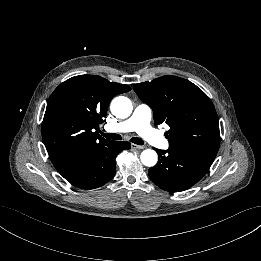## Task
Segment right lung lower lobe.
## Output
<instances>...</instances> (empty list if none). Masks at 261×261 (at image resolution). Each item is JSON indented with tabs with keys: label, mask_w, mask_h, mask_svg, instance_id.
Instances as JSON below:
<instances>
[{
	"label": "right lung lower lobe",
	"mask_w": 261,
	"mask_h": 261,
	"mask_svg": "<svg viewBox=\"0 0 261 261\" xmlns=\"http://www.w3.org/2000/svg\"><path fill=\"white\" fill-rule=\"evenodd\" d=\"M127 141H115L112 145L96 152L78 156L73 162L61 168L59 173L71 184L81 189L101 187L111 180L116 172V155L130 149Z\"/></svg>",
	"instance_id": "1"
}]
</instances>
